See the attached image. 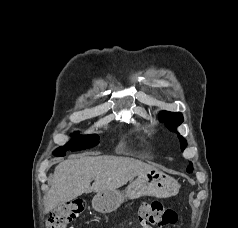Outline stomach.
Instances as JSON below:
<instances>
[{
	"label": "stomach",
	"instance_id": "obj_1",
	"mask_svg": "<svg viewBox=\"0 0 238 228\" xmlns=\"http://www.w3.org/2000/svg\"><path fill=\"white\" fill-rule=\"evenodd\" d=\"M178 181L159 170H151L139 175L124 191L118 189L98 192L92 206L101 213L115 211L125 199H135L141 196H154L167 198L178 193L180 189Z\"/></svg>",
	"mask_w": 238,
	"mask_h": 228
}]
</instances>
